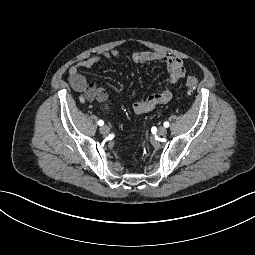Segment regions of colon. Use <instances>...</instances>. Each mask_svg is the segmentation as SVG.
<instances>
[{"mask_svg":"<svg viewBox=\"0 0 255 255\" xmlns=\"http://www.w3.org/2000/svg\"><path fill=\"white\" fill-rule=\"evenodd\" d=\"M198 79L195 76H189L186 80L185 86L189 92L194 91L197 88Z\"/></svg>","mask_w":255,"mask_h":255,"instance_id":"colon-1","label":"colon"}]
</instances>
